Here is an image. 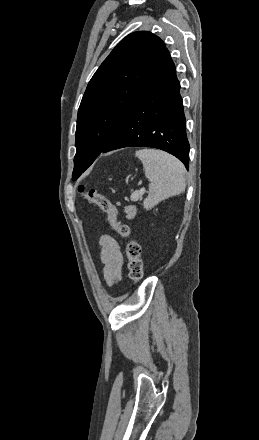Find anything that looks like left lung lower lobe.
Listing matches in <instances>:
<instances>
[{
	"mask_svg": "<svg viewBox=\"0 0 259 440\" xmlns=\"http://www.w3.org/2000/svg\"><path fill=\"white\" fill-rule=\"evenodd\" d=\"M133 146L164 150L180 159L188 169L189 143L180 83L166 48L148 84L102 152Z\"/></svg>",
	"mask_w": 259,
	"mask_h": 440,
	"instance_id": "0a47b994",
	"label": "left lung lower lobe"
}]
</instances>
